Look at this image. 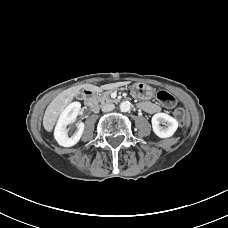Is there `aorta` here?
Wrapping results in <instances>:
<instances>
[{
  "label": "aorta",
  "mask_w": 228,
  "mask_h": 228,
  "mask_svg": "<svg viewBox=\"0 0 228 228\" xmlns=\"http://www.w3.org/2000/svg\"><path fill=\"white\" fill-rule=\"evenodd\" d=\"M131 109V103L129 101H123L120 104V110L122 112H128Z\"/></svg>",
  "instance_id": "obj_1"
}]
</instances>
